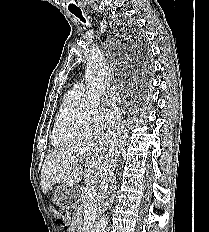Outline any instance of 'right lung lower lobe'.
<instances>
[{
	"label": "right lung lower lobe",
	"instance_id": "98d812e1",
	"mask_svg": "<svg viewBox=\"0 0 209 232\" xmlns=\"http://www.w3.org/2000/svg\"><path fill=\"white\" fill-rule=\"evenodd\" d=\"M140 54H141V58L139 59L140 61L136 62V64L134 65L133 72L134 75L136 76L144 77L146 61H147V55L144 47L141 48Z\"/></svg>",
	"mask_w": 209,
	"mask_h": 232
}]
</instances>
